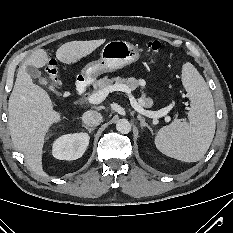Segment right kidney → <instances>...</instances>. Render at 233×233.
<instances>
[{
	"label": "right kidney",
	"mask_w": 233,
	"mask_h": 233,
	"mask_svg": "<svg viewBox=\"0 0 233 233\" xmlns=\"http://www.w3.org/2000/svg\"><path fill=\"white\" fill-rule=\"evenodd\" d=\"M89 139V135L82 132L63 135L53 144V156L59 160L78 159L86 151Z\"/></svg>",
	"instance_id": "obj_1"
}]
</instances>
